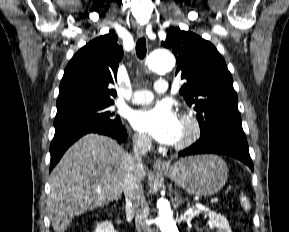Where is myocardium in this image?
Listing matches in <instances>:
<instances>
[{"label":"myocardium","mask_w":289,"mask_h":232,"mask_svg":"<svg viewBox=\"0 0 289 232\" xmlns=\"http://www.w3.org/2000/svg\"><path fill=\"white\" fill-rule=\"evenodd\" d=\"M180 123L186 128L184 138L175 144L176 149H184L195 143L201 134V125L198 119L190 113H185L180 118Z\"/></svg>","instance_id":"myocardium-1"}]
</instances>
